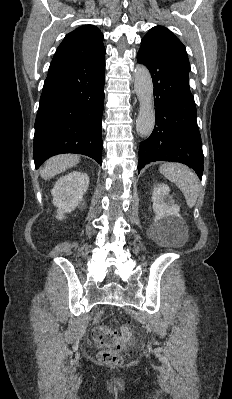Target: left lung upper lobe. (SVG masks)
I'll return each instance as SVG.
<instances>
[{
	"label": "left lung upper lobe",
	"instance_id": "obj_1",
	"mask_svg": "<svg viewBox=\"0 0 232 399\" xmlns=\"http://www.w3.org/2000/svg\"><path fill=\"white\" fill-rule=\"evenodd\" d=\"M141 45L157 47L164 50L182 66L186 74L190 72V64L185 46L167 28L163 26L153 27L144 36Z\"/></svg>",
	"mask_w": 232,
	"mask_h": 399
}]
</instances>
